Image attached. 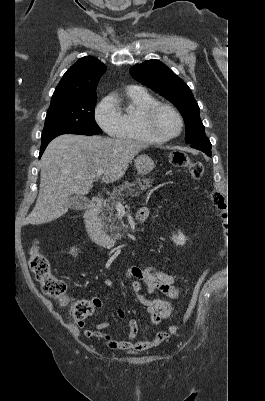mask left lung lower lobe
Returning a JSON list of instances; mask_svg holds the SVG:
<instances>
[{
	"instance_id": "1",
	"label": "left lung lower lobe",
	"mask_w": 265,
	"mask_h": 401,
	"mask_svg": "<svg viewBox=\"0 0 265 401\" xmlns=\"http://www.w3.org/2000/svg\"><path fill=\"white\" fill-rule=\"evenodd\" d=\"M192 147L211 155V143L208 138L192 143Z\"/></svg>"
}]
</instances>
